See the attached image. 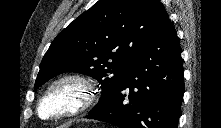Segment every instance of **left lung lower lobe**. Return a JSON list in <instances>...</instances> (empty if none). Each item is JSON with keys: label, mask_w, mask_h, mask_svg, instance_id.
Instances as JSON below:
<instances>
[{"label": "left lung lower lobe", "mask_w": 221, "mask_h": 128, "mask_svg": "<svg viewBox=\"0 0 221 128\" xmlns=\"http://www.w3.org/2000/svg\"><path fill=\"white\" fill-rule=\"evenodd\" d=\"M183 93L181 49L167 19L136 55L114 96L85 118L118 128H177Z\"/></svg>", "instance_id": "0a47b994"}]
</instances>
